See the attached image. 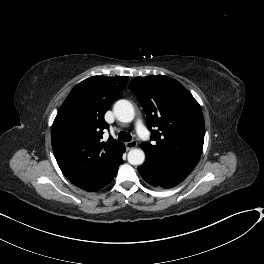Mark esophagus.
<instances>
[{"label": "esophagus", "instance_id": "obj_1", "mask_svg": "<svg viewBox=\"0 0 264 264\" xmlns=\"http://www.w3.org/2000/svg\"><path fill=\"white\" fill-rule=\"evenodd\" d=\"M126 147H127V149H133V148L137 147V142L135 140H132V141L126 143Z\"/></svg>", "mask_w": 264, "mask_h": 264}]
</instances>
